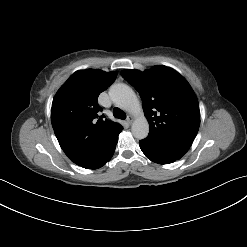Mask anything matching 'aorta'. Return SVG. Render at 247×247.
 Instances as JSON below:
<instances>
[{"mask_svg": "<svg viewBox=\"0 0 247 247\" xmlns=\"http://www.w3.org/2000/svg\"><path fill=\"white\" fill-rule=\"evenodd\" d=\"M110 97L119 108L136 116L131 131L136 139H144L149 133V124L143 115L142 107L135 92L126 84H116L110 89Z\"/></svg>", "mask_w": 247, "mask_h": 247, "instance_id": "762f6f07", "label": "aorta"}]
</instances>
